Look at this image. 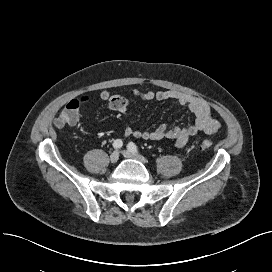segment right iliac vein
<instances>
[{"label":"right iliac vein","mask_w":272,"mask_h":272,"mask_svg":"<svg viewBox=\"0 0 272 272\" xmlns=\"http://www.w3.org/2000/svg\"><path fill=\"white\" fill-rule=\"evenodd\" d=\"M119 159V152L118 151H114L111 153L110 155V161L111 163H116Z\"/></svg>","instance_id":"right-iliac-vein-1"}]
</instances>
